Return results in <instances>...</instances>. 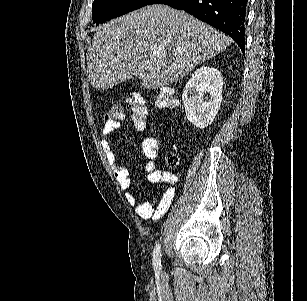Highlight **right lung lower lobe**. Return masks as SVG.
Here are the masks:
<instances>
[{"label":"right lung lower lobe","instance_id":"right-lung-lower-lobe-1","mask_svg":"<svg viewBox=\"0 0 307 301\" xmlns=\"http://www.w3.org/2000/svg\"><path fill=\"white\" fill-rule=\"evenodd\" d=\"M248 0H150L184 10L229 35L245 54V25Z\"/></svg>","mask_w":307,"mask_h":301}]
</instances>
